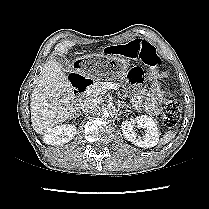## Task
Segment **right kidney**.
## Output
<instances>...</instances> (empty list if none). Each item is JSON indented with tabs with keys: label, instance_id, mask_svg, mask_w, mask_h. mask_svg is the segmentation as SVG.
<instances>
[{
	"label": "right kidney",
	"instance_id": "obj_1",
	"mask_svg": "<svg viewBox=\"0 0 209 209\" xmlns=\"http://www.w3.org/2000/svg\"><path fill=\"white\" fill-rule=\"evenodd\" d=\"M76 135V126L63 124L48 130L43 141L49 145H62L71 141Z\"/></svg>",
	"mask_w": 209,
	"mask_h": 209
}]
</instances>
